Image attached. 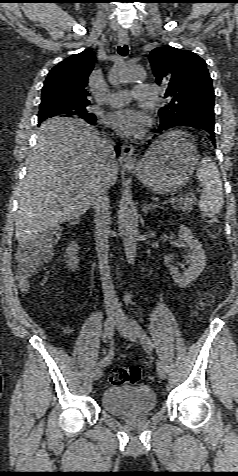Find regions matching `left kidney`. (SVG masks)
I'll return each instance as SVG.
<instances>
[{"label":"left kidney","mask_w":238,"mask_h":476,"mask_svg":"<svg viewBox=\"0 0 238 476\" xmlns=\"http://www.w3.org/2000/svg\"><path fill=\"white\" fill-rule=\"evenodd\" d=\"M179 239L187 243L191 255L189 256L188 269L181 273L173 265L170 266V274L175 283L183 288L188 287L204 270L206 255L201 244L195 239L192 231L185 225H180Z\"/></svg>","instance_id":"left-kidney-1"}]
</instances>
